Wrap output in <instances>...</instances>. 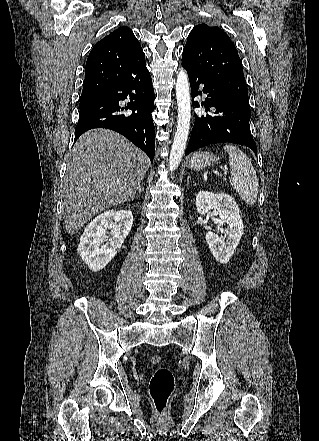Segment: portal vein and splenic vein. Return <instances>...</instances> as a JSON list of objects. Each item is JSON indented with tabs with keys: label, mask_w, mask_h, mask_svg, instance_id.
<instances>
[{
	"label": "portal vein and splenic vein",
	"mask_w": 319,
	"mask_h": 441,
	"mask_svg": "<svg viewBox=\"0 0 319 441\" xmlns=\"http://www.w3.org/2000/svg\"><path fill=\"white\" fill-rule=\"evenodd\" d=\"M226 174H227V171L225 170V171H224V175H226ZM231 175H233V174L231 173ZM118 182H119V181H118Z\"/></svg>",
	"instance_id": "portal-vein-and-splenic-vein-1"
}]
</instances>
